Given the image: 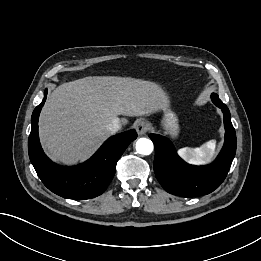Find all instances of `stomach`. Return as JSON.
I'll use <instances>...</instances> for the list:
<instances>
[{
  "mask_svg": "<svg viewBox=\"0 0 261 261\" xmlns=\"http://www.w3.org/2000/svg\"><path fill=\"white\" fill-rule=\"evenodd\" d=\"M161 126L165 133L170 135L172 139H176L180 133V126L177 115L170 109H164V117Z\"/></svg>",
  "mask_w": 261,
  "mask_h": 261,
  "instance_id": "stomach-1",
  "label": "stomach"
}]
</instances>
